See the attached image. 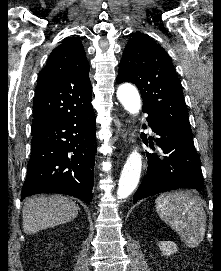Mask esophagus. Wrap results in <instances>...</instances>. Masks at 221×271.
<instances>
[{
    "label": "esophagus",
    "mask_w": 221,
    "mask_h": 271,
    "mask_svg": "<svg viewBox=\"0 0 221 271\" xmlns=\"http://www.w3.org/2000/svg\"><path fill=\"white\" fill-rule=\"evenodd\" d=\"M123 138H124V133H122V135H121Z\"/></svg>",
    "instance_id": "34e87169"
}]
</instances>
